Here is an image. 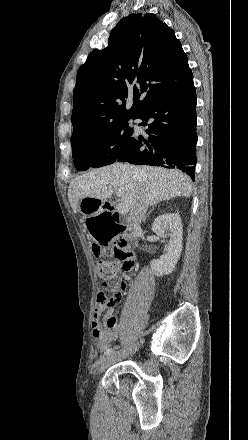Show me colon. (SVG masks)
Here are the masks:
<instances>
[{"instance_id":"colon-1","label":"colon","mask_w":248,"mask_h":440,"mask_svg":"<svg viewBox=\"0 0 248 440\" xmlns=\"http://www.w3.org/2000/svg\"><path fill=\"white\" fill-rule=\"evenodd\" d=\"M94 255L99 259L97 270L105 279L103 289L97 294L96 305L101 308L114 307L122 296L126 285L115 278L120 271L130 272L135 266L131 254L120 244L109 243L108 246H94ZM112 324V320H108Z\"/></svg>"}]
</instances>
